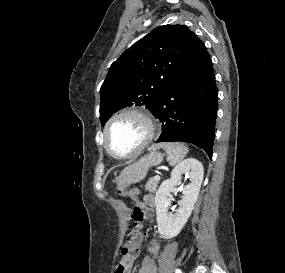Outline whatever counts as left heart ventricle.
Returning <instances> with one entry per match:
<instances>
[{"mask_svg":"<svg viewBox=\"0 0 285 273\" xmlns=\"http://www.w3.org/2000/svg\"><path fill=\"white\" fill-rule=\"evenodd\" d=\"M146 126L136 116L128 115L116 120L108 132V143L113 152L124 155L134 150L144 139Z\"/></svg>","mask_w":285,"mask_h":273,"instance_id":"b2bd125f","label":"left heart ventricle"}]
</instances>
